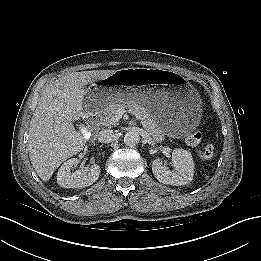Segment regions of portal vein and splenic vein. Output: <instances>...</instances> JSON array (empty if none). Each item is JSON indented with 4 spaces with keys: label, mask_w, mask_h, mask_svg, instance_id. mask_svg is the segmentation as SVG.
I'll return each instance as SVG.
<instances>
[{
    "label": "portal vein and splenic vein",
    "mask_w": 261,
    "mask_h": 261,
    "mask_svg": "<svg viewBox=\"0 0 261 261\" xmlns=\"http://www.w3.org/2000/svg\"><path fill=\"white\" fill-rule=\"evenodd\" d=\"M124 113H125L124 109H122V108L117 109L116 113H115V120L118 121L120 118H122Z\"/></svg>",
    "instance_id": "portal-vein-and-splenic-vein-1"
}]
</instances>
